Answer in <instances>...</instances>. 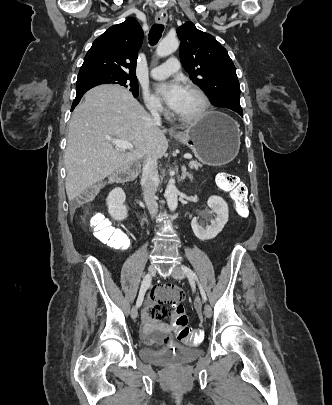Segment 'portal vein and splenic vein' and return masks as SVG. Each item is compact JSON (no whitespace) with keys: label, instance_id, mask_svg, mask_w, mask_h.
<instances>
[{"label":"portal vein and splenic vein","instance_id":"obj_1","mask_svg":"<svg viewBox=\"0 0 332 405\" xmlns=\"http://www.w3.org/2000/svg\"><path fill=\"white\" fill-rule=\"evenodd\" d=\"M109 141H111L113 143V145L118 148L119 150H132L133 149V145L125 140H120V139H112L111 137L107 138ZM184 158L186 159H191L190 155H184Z\"/></svg>","mask_w":332,"mask_h":405}]
</instances>
